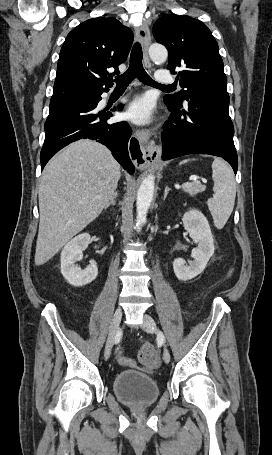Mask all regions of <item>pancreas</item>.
<instances>
[{
	"instance_id": "pancreas-1",
	"label": "pancreas",
	"mask_w": 272,
	"mask_h": 455,
	"mask_svg": "<svg viewBox=\"0 0 272 455\" xmlns=\"http://www.w3.org/2000/svg\"><path fill=\"white\" fill-rule=\"evenodd\" d=\"M184 191L187 192L189 195L194 196L198 193L205 191V186L201 184H195L190 188H185Z\"/></svg>"
}]
</instances>
